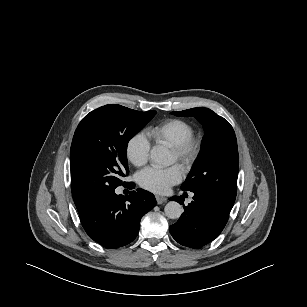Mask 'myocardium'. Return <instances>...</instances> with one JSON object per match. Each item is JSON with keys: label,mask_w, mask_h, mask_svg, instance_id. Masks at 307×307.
I'll return each mask as SVG.
<instances>
[{"label": "myocardium", "mask_w": 307, "mask_h": 307, "mask_svg": "<svg viewBox=\"0 0 307 307\" xmlns=\"http://www.w3.org/2000/svg\"><path fill=\"white\" fill-rule=\"evenodd\" d=\"M202 141L191 137L181 144L171 148L176 162L186 171L190 170L198 161L202 152Z\"/></svg>", "instance_id": "myocardium-1"}]
</instances>
